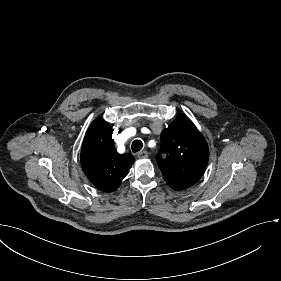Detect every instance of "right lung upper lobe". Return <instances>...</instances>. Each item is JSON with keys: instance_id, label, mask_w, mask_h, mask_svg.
Returning <instances> with one entry per match:
<instances>
[{"instance_id": "1", "label": "right lung upper lobe", "mask_w": 281, "mask_h": 281, "mask_svg": "<svg viewBox=\"0 0 281 281\" xmlns=\"http://www.w3.org/2000/svg\"><path fill=\"white\" fill-rule=\"evenodd\" d=\"M113 130L103 118L95 119L86 132L81 149V165L92 184L104 192L115 191L134 163L131 154L115 150Z\"/></svg>"}]
</instances>
